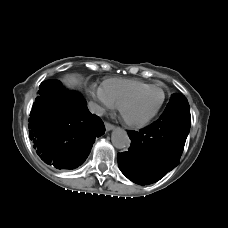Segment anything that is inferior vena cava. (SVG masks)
<instances>
[{
    "mask_svg": "<svg viewBox=\"0 0 228 228\" xmlns=\"http://www.w3.org/2000/svg\"><path fill=\"white\" fill-rule=\"evenodd\" d=\"M88 109L91 113L96 114L98 116H102L105 112L104 108L99 106L97 103L90 101L88 103Z\"/></svg>",
    "mask_w": 228,
    "mask_h": 228,
    "instance_id": "inferior-vena-cava-1",
    "label": "inferior vena cava"
}]
</instances>
